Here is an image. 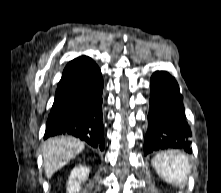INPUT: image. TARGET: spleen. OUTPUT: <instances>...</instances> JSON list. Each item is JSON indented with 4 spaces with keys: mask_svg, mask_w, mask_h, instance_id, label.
Here are the masks:
<instances>
[{
    "mask_svg": "<svg viewBox=\"0 0 221 193\" xmlns=\"http://www.w3.org/2000/svg\"><path fill=\"white\" fill-rule=\"evenodd\" d=\"M157 174L167 183L180 185L186 183L190 173L187 156L178 151L158 153L152 160Z\"/></svg>",
    "mask_w": 221,
    "mask_h": 193,
    "instance_id": "3e777b00",
    "label": "spleen"
}]
</instances>
